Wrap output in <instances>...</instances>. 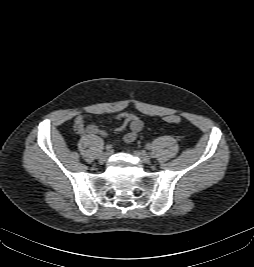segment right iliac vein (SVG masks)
Wrapping results in <instances>:
<instances>
[{
  "label": "right iliac vein",
  "mask_w": 254,
  "mask_h": 267,
  "mask_svg": "<svg viewBox=\"0 0 254 267\" xmlns=\"http://www.w3.org/2000/svg\"><path fill=\"white\" fill-rule=\"evenodd\" d=\"M109 155H110L109 152H103V153H101L100 156H99V162L101 164L105 163L106 160L108 159Z\"/></svg>",
  "instance_id": "right-iliac-vein-1"
}]
</instances>
